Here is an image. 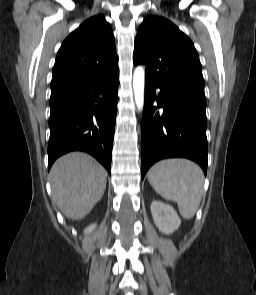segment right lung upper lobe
<instances>
[{
    "instance_id": "right-lung-upper-lobe-1",
    "label": "right lung upper lobe",
    "mask_w": 256,
    "mask_h": 295,
    "mask_svg": "<svg viewBox=\"0 0 256 295\" xmlns=\"http://www.w3.org/2000/svg\"><path fill=\"white\" fill-rule=\"evenodd\" d=\"M118 68L115 39L102 15L84 21L62 43L53 67L51 90Z\"/></svg>"
}]
</instances>
